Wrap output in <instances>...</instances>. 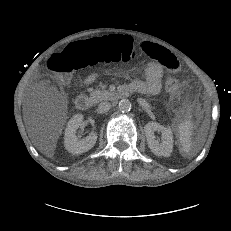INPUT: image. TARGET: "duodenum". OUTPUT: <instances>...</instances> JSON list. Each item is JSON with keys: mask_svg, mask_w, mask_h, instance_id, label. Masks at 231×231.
Returning <instances> with one entry per match:
<instances>
[{"mask_svg": "<svg viewBox=\"0 0 231 231\" xmlns=\"http://www.w3.org/2000/svg\"><path fill=\"white\" fill-rule=\"evenodd\" d=\"M132 91H133L132 87L130 86L125 87L122 90L117 91L114 94V98L115 99L125 98L129 96L132 93ZM75 104L79 110H82V111L88 110L92 106V98L86 95L78 96L76 98Z\"/></svg>", "mask_w": 231, "mask_h": 231, "instance_id": "duodenum-1", "label": "duodenum"}]
</instances>
